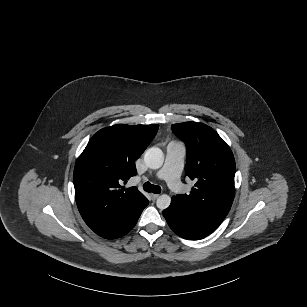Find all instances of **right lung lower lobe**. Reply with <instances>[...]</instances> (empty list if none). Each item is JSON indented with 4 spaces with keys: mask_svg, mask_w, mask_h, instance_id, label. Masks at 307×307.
I'll list each match as a JSON object with an SVG mask.
<instances>
[{
    "mask_svg": "<svg viewBox=\"0 0 307 307\" xmlns=\"http://www.w3.org/2000/svg\"><path fill=\"white\" fill-rule=\"evenodd\" d=\"M149 201L143 198L140 202L130 208L122 217L117 220L93 230L99 236L106 239H116L127 234L136 224L143 209Z\"/></svg>",
    "mask_w": 307,
    "mask_h": 307,
    "instance_id": "1",
    "label": "right lung lower lobe"
}]
</instances>
